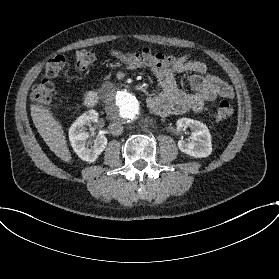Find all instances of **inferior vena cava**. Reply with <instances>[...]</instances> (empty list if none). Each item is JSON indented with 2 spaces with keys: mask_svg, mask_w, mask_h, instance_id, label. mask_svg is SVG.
<instances>
[{
  "mask_svg": "<svg viewBox=\"0 0 279 279\" xmlns=\"http://www.w3.org/2000/svg\"><path fill=\"white\" fill-rule=\"evenodd\" d=\"M108 129L112 135L119 136L123 133V126L120 123L112 122L109 124Z\"/></svg>",
  "mask_w": 279,
  "mask_h": 279,
  "instance_id": "602c4592",
  "label": "inferior vena cava"
}]
</instances>
